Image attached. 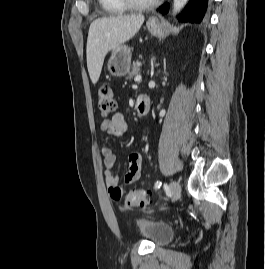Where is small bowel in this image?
Returning <instances> with one entry per match:
<instances>
[{"label":"small bowel","mask_w":265,"mask_h":269,"mask_svg":"<svg viewBox=\"0 0 265 269\" xmlns=\"http://www.w3.org/2000/svg\"><path fill=\"white\" fill-rule=\"evenodd\" d=\"M101 131L108 133L110 135L121 137L128 130V124L125 120L123 114L116 113L111 118L103 119L100 122ZM101 154L104 160V176L105 181L108 186L113 187L117 186L119 178L113 173V168L116 164L117 157L113 153L112 149L108 146H103L101 148ZM143 162V156L139 152H134L129 156V168L125 176V183L131 184L135 182L141 171V166Z\"/></svg>","instance_id":"1"}]
</instances>
